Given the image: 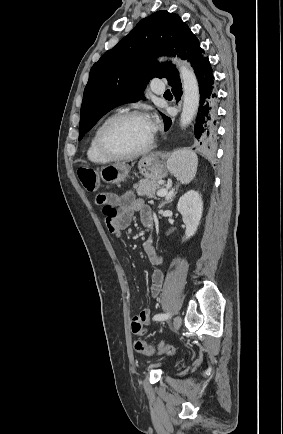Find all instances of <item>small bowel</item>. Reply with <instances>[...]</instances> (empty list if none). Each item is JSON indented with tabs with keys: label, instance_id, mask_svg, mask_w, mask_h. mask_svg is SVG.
Masks as SVG:
<instances>
[{
	"label": "small bowel",
	"instance_id": "c3829d8e",
	"mask_svg": "<svg viewBox=\"0 0 283 434\" xmlns=\"http://www.w3.org/2000/svg\"><path fill=\"white\" fill-rule=\"evenodd\" d=\"M96 203L102 208L105 215V223L108 230L116 237H120L124 229L131 223L135 214H139L143 225L149 227L152 224V212L142 199L136 198L132 192L118 196L112 193H100L96 197ZM148 260L160 266L162 257L148 240L143 245ZM164 275L160 269H155L151 277V294L155 298L159 295L163 285ZM151 323V312L143 309L131 322V330L134 334H142L145 326Z\"/></svg>",
	"mask_w": 283,
	"mask_h": 434
}]
</instances>
